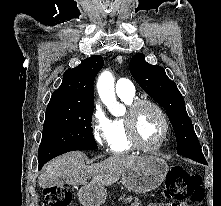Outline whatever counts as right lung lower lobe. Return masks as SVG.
<instances>
[{
  "label": "right lung lower lobe",
  "mask_w": 221,
  "mask_h": 206,
  "mask_svg": "<svg viewBox=\"0 0 221 206\" xmlns=\"http://www.w3.org/2000/svg\"><path fill=\"white\" fill-rule=\"evenodd\" d=\"M47 161H39V169L42 168V166L46 163Z\"/></svg>",
  "instance_id": "obj_1"
}]
</instances>
